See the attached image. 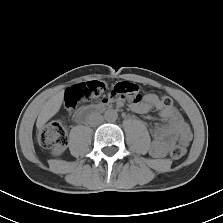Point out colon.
I'll return each mask as SVG.
<instances>
[{"label":"colon","instance_id":"5ec220e1","mask_svg":"<svg viewBox=\"0 0 223 223\" xmlns=\"http://www.w3.org/2000/svg\"><path fill=\"white\" fill-rule=\"evenodd\" d=\"M106 87L98 81L75 84L67 89L65 94V104L68 109H73L79 102L90 100L105 93ZM130 97L140 98L139 87L135 83L123 81L116 83L109 92V98ZM162 106H170L172 100L168 96L160 99ZM37 143L44 148H63L67 143V132L60 121H50L36 135ZM187 145L184 140L179 141L170 148V154L174 159L183 157L186 153Z\"/></svg>","mask_w":223,"mask_h":223}]
</instances>
